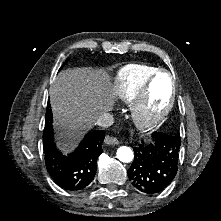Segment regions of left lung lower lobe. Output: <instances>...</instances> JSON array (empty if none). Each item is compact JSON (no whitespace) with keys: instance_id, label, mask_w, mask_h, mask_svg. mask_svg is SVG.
Instances as JSON below:
<instances>
[{"instance_id":"1","label":"left lung lower lobe","mask_w":221,"mask_h":221,"mask_svg":"<svg viewBox=\"0 0 221 221\" xmlns=\"http://www.w3.org/2000/svg\"><path fill=\"white\" fill-rule=\"evenodd\" d=\"M180 135L154 133L150 144L143 141L134 148V161L128 170L132 185L146 194L164 190L178 169Z\"/></svg>"}]
</instances>
